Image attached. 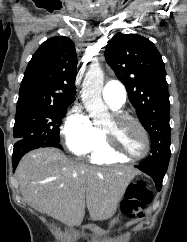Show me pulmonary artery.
Returning a JSON list of instances; mask_svg holds the SVG:
<instances>
[{"label": "pulmonary artery", "instance_id": "1", "mask_svg": "<svg viewBox=\"0 0 187 242\" xmlns=\"http://www.w3.org/2000/svg\"><path fill=\"white\" fill-rule=\"evenodd\" d=\"M102 97L110 108L116 110L124 105L126 101V90L119 81L112 80L104 86Z\"/></svg>", "mask_w": 187, "mask_h": 242}]
</instances>
